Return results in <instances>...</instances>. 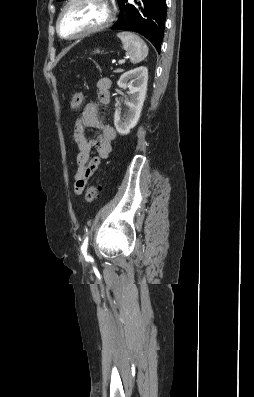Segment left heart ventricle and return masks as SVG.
<instances>
[{"label": "left heart ventricle", "mask_w": 254, "mask_h": 397, "mask_svg": "<svg viewBox=\"0 0 254 397\" xmlns=\"http://www.w3.org/2000/svg\"><path fill=\"white\" fill-rule=\"evenodd\" d=\"M107 7L98 0H78L61 19V32L73 35L102 23L107 17Z\"/></svg>", "instance_id": "1"}]
</instances>
